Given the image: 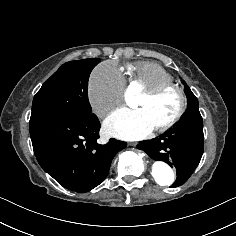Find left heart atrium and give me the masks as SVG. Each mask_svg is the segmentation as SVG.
<instances>
[{"label":"left heart atrium","mask_w":236,"mask_h":236,"mask_svg":"<svg viewBox=\"0 0 236 236\" xmlns=\"http://www.w3.org/2000/svg\"><path fill=\"white\" fill-rule=\"evenodd\" d=\"M103 128L108 135L123 140H138L153 131L143 109L128 108L111 113L105 120Z\"/></svg>","instance_id":"obj_1"}]
</instances>
